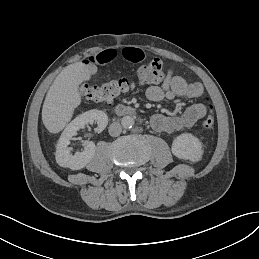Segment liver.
<instances>
[{
    "label": "liver",
    "instance_id": "1",
    "mask_svg": "<svg viewBox=\"0 0 259 259\" xmlns=\"http://www.w3.org/2000/svg\"><path fill=\"white\" fill-rule=\"evenodd\" d=\"M90 64L78 61L66 66L50 86L42 107V123L53 135L59 134L72 120L74 111L82 104L80 85L91 81Z\"/></svg>",
    "mask_w": 259,
    "mask_h": 259
}]
</instances>
